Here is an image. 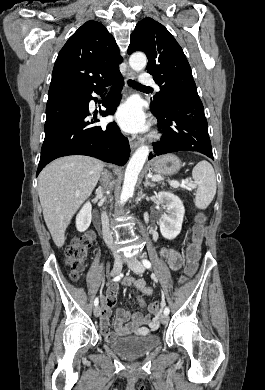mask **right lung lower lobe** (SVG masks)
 I'll return each mask as SVG.
<instances>
[{
    "mask_svg": "<svg viewBox=\"0 0 265 390\" xmlns=\"http://www.w3.org/2000/svg\"><path fill=\"white\" fill-rule=\"evenodd\" d=\"M110 84H113L112 90L103 102L106 110H99L104 117L114 114L121 100L124 84L121 73L83 95L47 102L45 139L37 175L49 162L66 155H88L121 166L127 162L130 156L128 139L115 122L107 126L96 125L99 122L97 112L91 116L89 111L90 100H95L91 93L100 94Z\"/></svg>",
    "mask_w": 265,
    "mask_h": 390,
    "instance_id": "obj_1",
    "label": "right lung lower lobe"
}]
</instances>
